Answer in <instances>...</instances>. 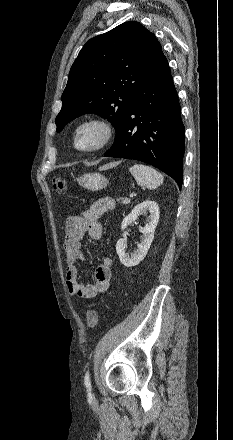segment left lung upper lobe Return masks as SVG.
Here are the masks:
<instances>
[{
  "label": "left lung upper lobe",
  "mask_w": 233,
  "mask_h": 440,
  "mask_svg": "<svg viewBox=\"0 0 233 440\" xmlns=\"http://www.w3.org/2000/svg\"><path fill=\"white\" fill-rule=\"evenodd\" d=\"M162 53L156 37L136 21L90 39L70 69L55 120L57 132L94 112L107 118L117 135L133 97Z\"/></svg>",
  "instance_id": "1"
}]
</instances>
